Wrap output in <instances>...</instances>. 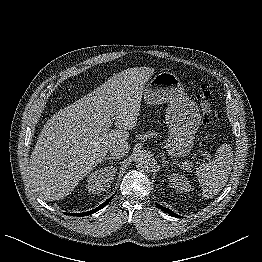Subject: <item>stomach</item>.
<instances>
[{
    "instance_id": "stomach-1",
    "label": "stomach",
    "mask_w": 262,
    "mask_h": 262,
    "mask_svg": "<svg viewBox=\"0 0 262 262\" xmlns=\"http://www.w3.org/2000/svg\"><path fill=\"white\" fill-rule=\"evenodd\" d=\"M143 96L150 105L168 104L166 149L173 156L187 155L193 147L201 115L197 104L186 95L180 79L171 72L159 73L147 84Z\"/></svg>"
}]
</instances>
